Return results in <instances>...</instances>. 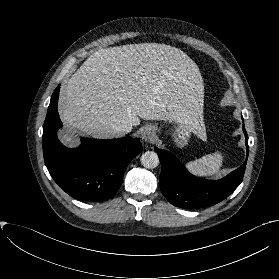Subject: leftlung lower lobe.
Segmentation results:
<instances>
[{"label": "left lung lower lobe", "instance_id": "1", "mask_svg": "<svg viewBox=\"0 0 279 279\" xmlns=\"http://www.w3.org/2000/svg\"><path fill=\"white\" fill-rule=\"evenodd\" d=\"M248 157V136L243 124ZM161 162L160 189L174 206L198 209L215 205L228 197L242 182L246 161L220 180H205L190 174L170 152L155 148Z\"/></svg>", "mask_w": 279, "mask_h": 279}]
</instances>
